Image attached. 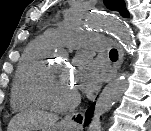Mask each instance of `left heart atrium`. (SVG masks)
I'll return each instance as SVG.
<instances>
[{"label":"left heart atrium","mask_w":151,"mask_h":131,"mask_svg":"<svg viewBox=\"0 0 151 131\" xmlns=\"http://www.w3.org/2000/svg\"><path fill=\"white\" fill-rule=\"evenodd\" d=\"M73 79L75 87L79 91L91 92L97 87L100 80V71L90 56L80 54L76 57Z\"/></svg>","instance_id":"obj_1"}]
</instances>
